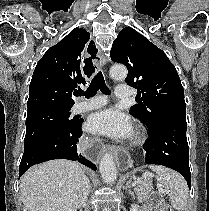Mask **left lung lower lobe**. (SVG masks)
<instances>
[{
  "mask_svg": "<svg viewBox=\"0 0 209 211\" xmlns=\"http://www.w3.org/2000/svg\"><path fill=\"white\" fill-rule=\"evenodd\" d=\"M186 118L175 117L161 122L143 146L146 151L145 162L167 166L178 171L191 188L189 168V148L186 138Z\"/></svg>",
  "mask_w": 209,
  "mask_h": 211,
  "instance_id": "obj_1",
  "label": "left lung lower lobe"
}]
</instances>
